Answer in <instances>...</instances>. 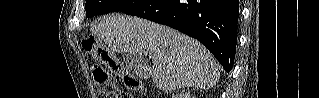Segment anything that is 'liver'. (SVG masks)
<instances>
[{"instance_id": "liver-1", "label": "liver", "mask_w": 319, "mask_h": 98, "mask_svg": "<svg viewBox=\"0 0 319 98\" xmlns=\"http://www.w3.org/2000/svg\"><path fill=\"white\" fill-rule=\"evenodd\" d=\"M91 31L114 52L137 58L148 51L153 63L149 75L160 90H208L219 80L218 64L207 48L167 26L115 13L94 24Z\"/></svg>"}]
</instances>
